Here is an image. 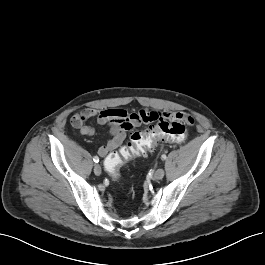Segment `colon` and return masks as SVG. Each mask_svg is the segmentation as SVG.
<instances>
[{"label":"colon","instance_id":"colon-1","mask_svg":"<svg viewBox=\"0 0 265 265\" xmlns=\"http://www.w3.org/2000/svg\"><path fill=\"white\" fill-rule=\"evenodd\" d=\"M153 124L144 131L133 132L130 141L119 152L111 153L105 160L106 171L113 177L118 176L119 169L129 160L143 155L147 151H156L163 142L182 143L188 136V125L193 119L163 117L153 114Z\"/></svg>","mask_w":265,"mask_h":265}]
</instances>
